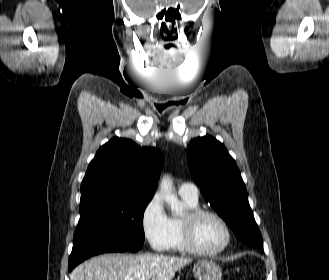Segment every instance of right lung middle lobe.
<instances>
[{
	"instance_id": "dd1d6c3e",
	"label": "right lung middle lobe",
	"mask_w": 329,
	"mask_h": 280,
	"mask_svg": "<svg viewBox=\"0 0 329 280\" xmlns=\"http://www.w3.org/2000/svg\"><path fill=\"white\" fill-rule=\"evenodd\" d=\"M152 197L120 196L80 204L69 266L96 249L135 252L143 246V213Z\"/></svg>"
}]
</instances>
